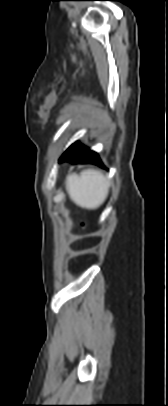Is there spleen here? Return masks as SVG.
I'll return each instance as SVG.
<instances>
[{"label":"spleen","instance_id":"3e777b00","mask_svg":"<svg viewBox=\"0 0 168 406\" xmlns=\"http://www.w3.org/2000/svg\"><path fill=\"white\" fill-rule=\"evenodd\" d=\"M66 189L76 205L93 210L106 200L109 182L96 170H84L80 175L71 174L67 177Z\"/></svg>","mask_w":168,"mask_h":406}]
</instances>
